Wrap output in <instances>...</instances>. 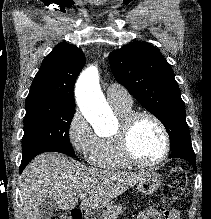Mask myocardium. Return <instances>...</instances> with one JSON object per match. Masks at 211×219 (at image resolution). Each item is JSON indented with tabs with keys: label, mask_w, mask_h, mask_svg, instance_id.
<instances>
[{
	"label": "myocardium",
	"mask_w": 211,
	"mask_h": 219,
	"mask_svg": "<svg viewBox=\"0 0 211 219\" xmlns=\"http://www.w3.org/2000/svg\"><path fill=\"white\" fill-rule=\"evenodd\" d=\"M142 117H148L157 124L164 140V149L162 155L157 160L152 162H145L140 160L135 155L131 146V135L133 128L138 119ZM116 138L121 156L124 158L125 161L134 166H138L141 168H153L165 162L170 154L171 141L165 124L156 114L147 110L132 111L126 117H124L116 133Z\"/></svg>",
	"instance_id": "obj_1"
}]
</instances>
